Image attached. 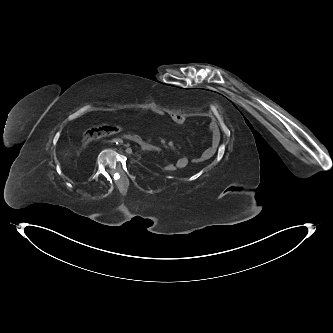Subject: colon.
Returning <instances> with one entry per match:
<instances>
[{"label":"colon","mask_w":333,"mask_h":333,"mask_svg":"<svg viewBox=\"0 0 333 333\" xmlns=\"http://www.w3.org/2000/svg\"><path fill=\"white\" fill-rule=\"evenodd\" d=\"M127 127H130V124H127ZM121 130L119 125H101L89 129L83 136V142L89 144L99 138L110 136L118 133ZM165 169L168 172L174 173L177 170V167L174 164L168 163L165 166Z\"/></svg>","instance_id":"1"}]
</instances>
